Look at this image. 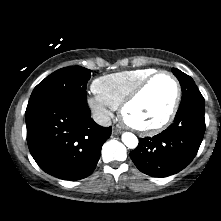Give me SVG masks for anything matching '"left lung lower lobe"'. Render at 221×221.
Masks as SVG:
<instances>
[{
  "instance_id": "1",
  "label": "left lung lower lobe",
  "mask_w": 221,
  "mask_h": 221,
  "mask_svg": "<svg viewBox=\"0 0 221 221\" xmlns=\"http://www.w3.org/2000/svg\"><path fill=\"white\" fill-rule=\"evenodd\" d=\"M205 103L179 107L174 123L154 137L140 139L130 157L136 167L153 177L173 175L196 156L205 132Z\"/></svg>"
}]
</instances>
